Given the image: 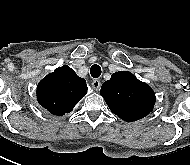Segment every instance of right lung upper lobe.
<instances>
[{
  "label": "right lung upper lobe",
  "instance_id": "right-lung-upper-lobe-1",
  "mask_svg": "<svg viewBox=\"0 0 190 165\" xmlns=\"http://www.w3.org/2000/svg\"><path fill=\"white\" fill-rule=\"evenodd\" d=\"M86 93V81L67 65L48 74L37 86L39 104L57 116L71 112Z\"/></svg>",
  "mask_w": 190,
  "mask_h": 165
}]
</instances>
